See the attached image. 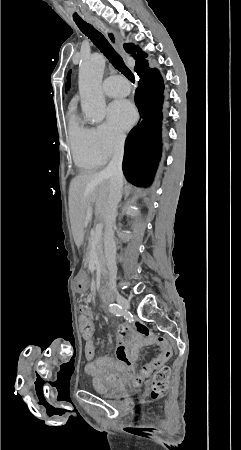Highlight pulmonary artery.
Instances as JSON below:
<instances>
[{"label":"pulmonary artery","instance_id":"1","mask_svg":"<svg viewBox=\"0 0 241 450\" xmlns=\"http://www.w3.org/2000/svg\"><path fill=\"white\" fill-rule=\"evenodd\" d=\"M131 91V84L127 78H123L122 74H109L108 79L103 82V92L107 102H114L116 97L126 95L125 92Z\"/></svg>","mask_w":241,"mask_h":450}]
</instances>
